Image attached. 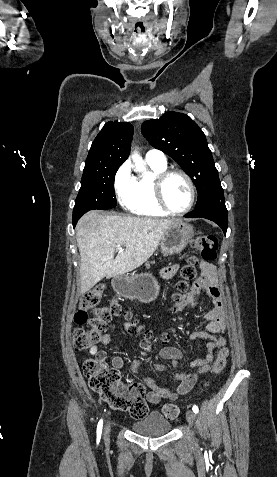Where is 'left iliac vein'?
I'll return each mask as SVG.
<instances>
[{
    "instance_id": "obj_1",
    "label": "left iliac vein",
    "mask_w": 277,
    "mask_h": 477,
    "mask_svg": "<svg viewBox=\"0 0 277 477\" xmlns=\"http://www.w3.org/2000/svg\"><path fill=\"white\" fill-rule=\"evenodd\" d=\"M186 418L189 425L192 426L195 420V413L192 410H188L186 413Z\"/></svg>"
}]
</instances>
